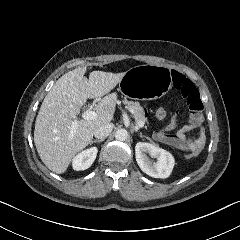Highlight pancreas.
I'll list each match as a JSON object with an SVG mask.
<instances>
[{
  "mask_svg": "<svg viewBox=\"0 0 240 240\" xmlns=\"http://www.w3.org/2000/svg\"><path fill=\"white\" fill-rule=\"evenodd\" d=\"M110 98L115 101L116 100V95L113 94L110 96ZM123 103L127 106L128 109L133 110V117L136 121V123L139 122H145L146 117L144 113V109L141 107L139 102H134V101H129V100H124Z\"/></svg>",
  "mask_w": 240,
  "mask_h": 240,
  "instance_id": "1",
  "label": "pancreas"
}]
</instances>
